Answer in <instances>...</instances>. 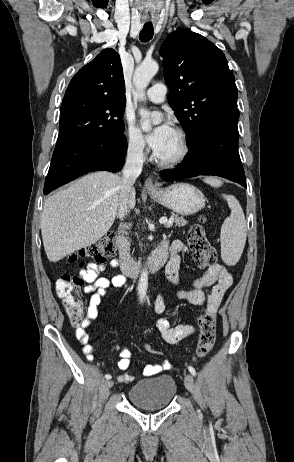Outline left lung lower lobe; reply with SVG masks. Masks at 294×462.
I'll use <instances>...</instances> for the list:
<instances>
[{
  "label": "left lung lower lobe",
  "instance_id": "obj_1",
  "mask_svg": "<svg viewBox=\"0 0 294 462\" xmlns=\"http://www.w3.org/2000/svg\"><path fill=\"white\" fill-rule=\"evenodd\" d=\"M238 109H232L206 126L203 134L188 145L191 154L175 169L163 170L165 181L198 175L220 176L247 188L244 169L237 151Z\"/></svg>",
  "mask_w": 294,
  "mask_h": 462
}]
</instances>
